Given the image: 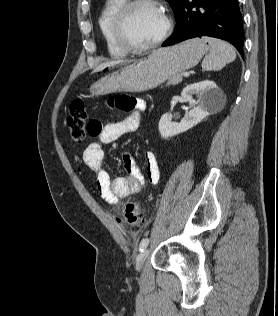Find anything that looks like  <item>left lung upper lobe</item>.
Returning <instances> with one entry per match:
<instances>
[{
  "instance_id": "1",
  "label": "left lung upper lobe",
  "mask_w": 278,
  "mask_h": 316,
  "mask_svg": "<svg viewBox=\"0 0 278 316\" xmlns=\"http://www.w3.org/2000/svg\"><path fill=\"white\" fill-rule=\"evenodd\" d=\"M174 12L175 15V19L178 17L179 15V10L181 8L182 2L183 0H167Z\"/></svg>"
}]
</instances>
